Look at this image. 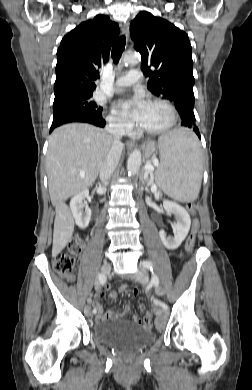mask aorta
Here are the masks:
<instances>
[{
	"label": "aorta",
	"mask_w": 252,
	"mask_h": 390,
	"mask_svg": "<svg viewBox=\"0 0 252 390\" xmlns=\"http://www.w3.org/2000/svg\"><path fill=\"white\" fill-rule=\"evenodd\" d=\"M140 60L137 54H126L123 57V63L136 64ZM141 165V153L138 150L133 151L127 161V171L129 176H134L138 173Z\"/></svg>",
	"instance_id": "1"
}]
</instances>
